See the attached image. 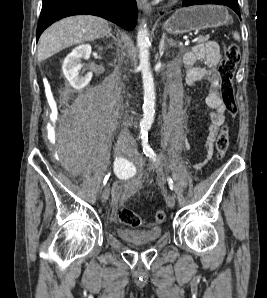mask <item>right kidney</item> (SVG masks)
I'll return each instance as SVG.
<instances>
[{
    "instance_id": "ca27d5eb",
    "label": "right kidney",
    "mask_w": 267,
    "mask_h": 298,
    "mask_svg": "<svg viewBox=\"0 0 267 298\" xmlns=\"http://www.w3.org/2000/svg\"><path fill=\"white\" fill-rule=\"evenodd\" d=\"M91 54V46L89 44H82L75 47L63 61L62 70L70 85L76 89L81 90L86 87L93 74L87 73L84 77L79 75V70L82 68L80 63L81 58H89Z\"/></svg>"
}]
</instances>
